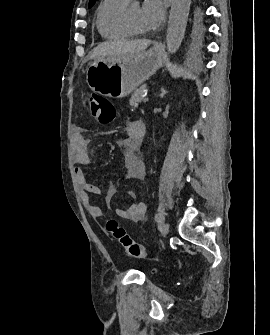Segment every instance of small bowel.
Segmentation results:
<instances>
[{"instance_id":"c3829d8e","label":"small bowel","mask_w":270,"mask_h":335,"mask_svg":"<svg viewBox=\"0 0 270 335\" xmlns=\"http://www.w3.org/2000/svg\"><path fill=\"white\" fill-rule=\"evenodd\" d=\"M142 122L134 120L126 125V141L128 150L124 156V163L128 170V175L133 179H144L146 177V164L138 156V150L142 146L143 136L139 134V127ZM89 139L85 136L83 128L80 126H74L72 128V156L73 161L80 166H88L91 164V157L88 152ZM75 177L77 183L82 190V201L86 206L89 214L95 220H100L103 217L102 209L93 203L91 195H100V188L94 183L90 182L84 171L77 167L75 169ZM114 185L108 186L105 200L107 205H110L111 199L115 194ZM147 206L143 202H137L131 204L127 208H118L116 214L123 220L137 222L142 219L146 212Z\"/></svg>"}]
</instances>
